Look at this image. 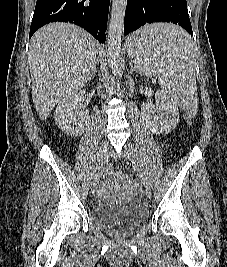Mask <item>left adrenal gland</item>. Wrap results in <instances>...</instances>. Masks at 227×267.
I'll list each match as a JSON object with an SVG mask.
<instances>
[{"instance_id": "obj_1", "label": "left adrenal gland", "mask_w": 227, "mask_h": 267, "mask_svg": "<svg viewBox=\"0 0 227 267\" xmlns=\"http://www.w3.org/2000/svg\"><path fill=\"white\" fill-rule=\"evenodd\" d=\"M130 66H131L130 72H133V71L137 72V70L133 67V65L131 63H130Z\"/></svg>"}]
</instances>
